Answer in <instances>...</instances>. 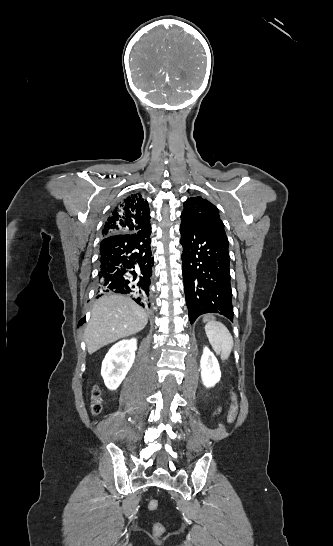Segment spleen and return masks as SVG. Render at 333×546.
<instances>
[{
    "label": "spleen",
    "mask_w": 333,
    "mask_h": 546,
    "mask_svg": "<svg viewBox=\"0 0 333 546\" xmlns=\"http://www.w3.org/2000/svg\"><path fill=\"white\" fill-rule=\"evenodd\" d=\"M205 332L209 343L222 360H227L233 349V337L227 327L214 318L206 317Z\"/></svg>",
    "instance_id": "3e777b00"
}]
</instances>
